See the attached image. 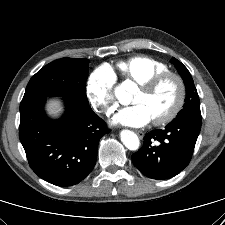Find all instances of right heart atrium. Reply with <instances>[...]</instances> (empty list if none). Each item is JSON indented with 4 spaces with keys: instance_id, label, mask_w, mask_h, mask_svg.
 Masks as SVG:
<instances>
[{
    "instance_id": "obj_1",
    "label": "right heart atrium",
    "mask_w": 225,
    "mask_h": 225,
    "mask_svg": "<svg viewBox=\"0 0 225 225\" xmlns=\"http://www.w3.org/2000/svg\"><path fill=\"white\" fill-rule=\"evenodd\" d=\"M116 76L112 69L101 66L94 70L86 84L88 100L97 112L109 113L114 105Z\"/></svg>"
}]
</instances>
